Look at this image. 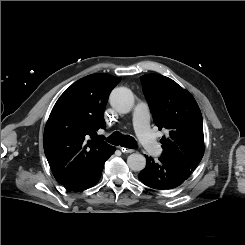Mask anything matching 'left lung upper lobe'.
Listing matches in <instances>:
<instances>
[{
  "instance_id": "5c2ea615",
  "label": "left lung upper lobe",
  "mask_w": 245,
  "mask_h": 245,
  "mask_svg": "<svg viewBox=\"0 0 245 245\" xmlns=\"http://www.w3.org/2000/svg\"><path fill=\"white\" fill-rule=\"evenodd\" d=\"M143 90L156 126L167 129L161 157L194 171L204 154L202 114L193 96L172 79L141 76Z\"/></svg>"
}]
</instances>
